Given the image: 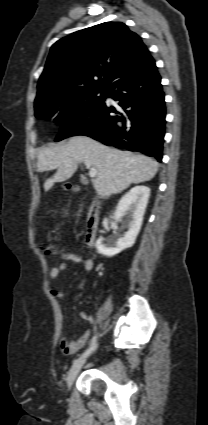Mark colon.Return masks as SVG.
I'll return each mask as SVG.
<instances>
[{"label":"colon","mask_w":208,"mask_h":425,"mask_svg":"<svg viewBox=\"0 0 208 425\" xmlns=\"http://www.w3.org/2000/svg\"><path fill=\"white\" fill-rule=\"evenodd\" d=\"M67 189L68 190H76V188L71 186V185H68ZM41 249H42L43 253L46 256H49V257L56 256L59 253V248L57 246L51 244V243L42 244Z\"/></svg>","instance_id":"1"}]
</instances>
